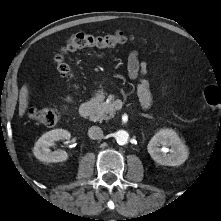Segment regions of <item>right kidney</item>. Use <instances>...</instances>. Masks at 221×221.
<instances>
[{
	"instance_id": "right-kidney-1",
	"label": "right kidney",
	"mask_w": 221,
	"mask_h": 221,
	"mask_svg": "<svg viewBox=\"0 0 221 221\" xmlns=\"http://www.w3.org/2000/svg\"><path fill=\"white\" fill-rule=\"evenodd\" d=\"M71 134L64 129H54L42 135L36 142L33 153L37 159L42 162H63L68 159L66 151H51L49 147L54 145L55 141L69 140Z\"/></svg>"
}]
</instances>
